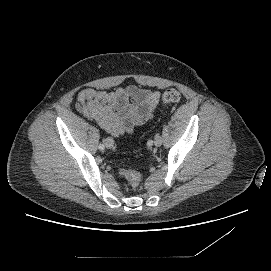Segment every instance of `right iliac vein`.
<instances>
[{
	"label": "right iliac vein",
	"mask_w": 271,
	"mask_h": 271,
	"mask_svg": "<svg viewBox=\"0 0 271 271\" xmlns=\"http://www.w3.org/2000/svg\"><path fill=\"white\" fill-rule=\"evenodd\" d=\"M113 144H114V142H113L112 138H107L105 140V145H106L107 148H109V149L112 148Z\"/></svg>",
	"instance_id": "obj_1"
}]
</instances>
